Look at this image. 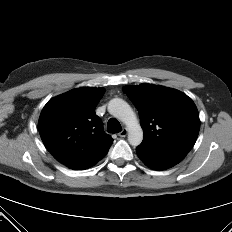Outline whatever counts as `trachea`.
Segmentation results:
<instances>
[{
  "instance_id": "3493384b",
  "label": "trachea",
  "mask_w": 232,
  "mask_h": 232,
  "mask_svg": "<svg viewBox=\"0 0 232 232\" xmlns=\"http://www.w3.org/2000/svg\"><path fill=\"white\" fill-rule=\"evenodd\" d=\"M107 131L109 133H118V132L122 131V127H121L119 121L116 120L115 118H110L108 123H107Z\"/></svg>"
}]
</instances>
